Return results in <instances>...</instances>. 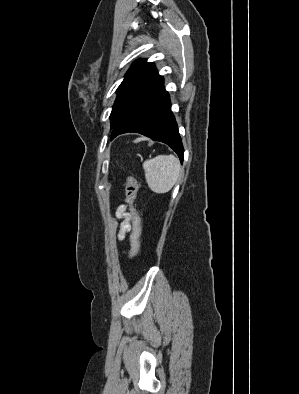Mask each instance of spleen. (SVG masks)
I'll list each match as a JSON object with an SVG mask.
<instances>
[{
    "label": "spleen",
    "instance_id": "1",
    "mask_svg": "<svg viewBox=\"0 0 299 394\" xmlns=\"http://www.w3.org/2000/svg\"><path fill=\"white\" fill-rule=\"evenodd\" d=\"M143 169L148 187L157 194L169 192L181 171L180 163L173 155H158L146 160Z\"/></svg>",
    "mask_w": 299,
    "mask_h": 394
}]
</instances>
